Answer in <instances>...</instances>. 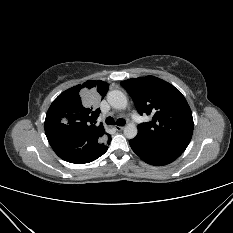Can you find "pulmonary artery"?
<instances>
[{"label":"pulmonary artery","instance_id":"obj_1","mask_svg":"<svg viewBox=\"0 0 233 233\" xmlns=\"http://www.w3.org/2000/svg\"><path fill=\"white\" fill-rule=\"evenodd\" d=\"M133 117H134V119H135V120H137V119H138V118H137V116H135V115H134Z\"/></svg>","mask_w":233,"mask_h":233}]
</instances>
